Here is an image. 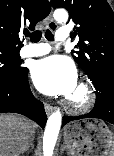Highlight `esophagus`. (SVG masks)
I'll return each mask as SVG.
<instances>
[{
  "instance_id": "34e87169",
  "label": "esophagus",
  "mask_w": 114,
  "mask_h": 156,
  "mask_svg": "<svg viewBox=\"0 0 114 156\" xmlns=\"http://www.w3.org/2000/svg\"><path fill=\"white\" fill-rule=\"evenodd\" d=\"M47 26H48V28L51 31H55L57 29V24L53 20L52 12L48 16V24H47ZM44 108H45V112H46L47 115H50L53 112V110H54L53 106L48 104V103L44 104Z\"/></svg>"
}]
</instances>
